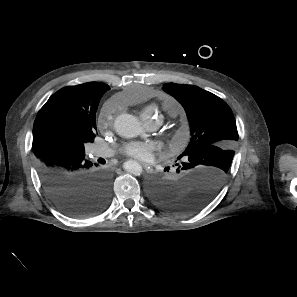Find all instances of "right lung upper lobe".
<instances>
[{"label":"right lung upper lobe","mask_w":297,"mask_h":297,"mask_svg":"<svg viewBox=\"0 0 297 297\" xmlns=\"http://www.w3.org/2000/svg\"><path fill=\"white\" fill-rule=\"evenodd\" d=\"M110 87L99 82L67 86L53 94L40 109L33 126V152L39 162L54 151L50 137L58 130L84 131L96 125L95 114Z\"/></svg>","instance_id":"1"}]
</instances>
